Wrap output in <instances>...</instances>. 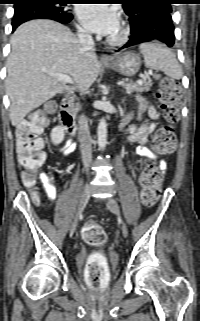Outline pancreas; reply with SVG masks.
<instances>
[{"instance_id": "1", "label": "pancreas", "mask_w": 200, "mask_h": 321, "mask_svg": "<svg viewBox=\"0 0 200 321\" xmlns=\"http://www.w3.org/2000/svg\"><path fill=\"white\" fill-rule=\"evenodd\" d=\"M126 83L123 84V88L126 90L128 94H131L133 92H147L150 90L152 86V81H142L141 83H134L129 80H125ZM80 109V105L76 104L75 108L73 109V113L76 114Z\"/></svg>"}]
</instances>
